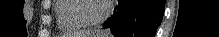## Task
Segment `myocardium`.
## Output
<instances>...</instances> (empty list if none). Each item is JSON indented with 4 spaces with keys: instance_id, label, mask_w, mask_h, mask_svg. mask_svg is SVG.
<instances>
[{
    "instance_id": "myocardium-1",
    "label": "myocardium",
    "mask_w": 219,
    "mask_h": 37,
    "mask_svg": "<svg viewBox=\"0 0 219 37\" xmlns=\"http://www.w3.org/2000/svg\"><path fill=\"white\" fill-rule=\"evenodd\" d=\"M89 1H101V0H78L76 6V16L78 19L87 27H95L102 24L108 17L110 13V4L108 2H104V8L102 14L96 19H89L84 13V5Z\"/></svg>"
}]
</instances>
